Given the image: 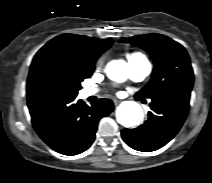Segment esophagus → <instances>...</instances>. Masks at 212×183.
Here are the masks:
<instances>
[{
  "label": "esophagus",
  "instance_id": "1",
  "mask_svg": "<svg viewBox=\"0 0 212 183\" xmlns=\"http://www.w3.org/2000/svg\"><path fill=\"white\" fill-rule=\"evenodd\" d=\"M119 103V100L114 99V104L117 105Z\"/></svg>",
  "mask_w": 212,
  "mask_h": 183
}]
</instances>
